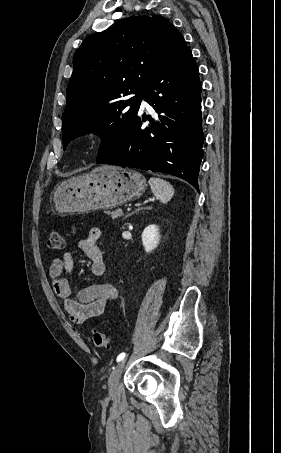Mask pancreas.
<instances>
[{
    "instance_id": "1",
    "label": "pancreas",
    "mask_w": 281,
    "mask_h": 453,
    "mask_svg": "<svg viewBox=\"0 0 281 453\" xmlns=\"http://www.w3.org/2000/svg\"><path fill=\"white\" fill-rule=\"evenodd\" d=\"M113 218H117V216H122L123 212L121 210V208H117V210H113V212H111Z\"/></svg>"
}]
</instances>
